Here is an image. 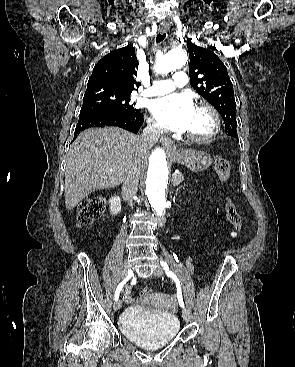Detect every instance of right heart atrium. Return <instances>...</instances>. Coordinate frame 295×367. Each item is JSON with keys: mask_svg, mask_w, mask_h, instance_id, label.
<instances>
[{"mask_svg": "<svg viewBox=\"0 0 295 367\" xmlns=\"http://www.w3.org/2000/svg\"><path fill=\"white\" fill-rule=\"evenodd\" d=\"M148 129L154 134H161L163 132V127L156 120L149 118L147 121Z\"/></svg>", "mask_w": 295, "mask_h": 367, "instance_id": "right-heart-atrium-1", "label": "right heart atrium"}]
</instances>
